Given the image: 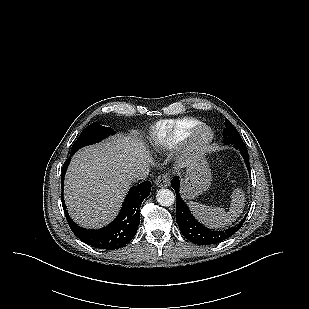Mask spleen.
<instances>
[{"instance_id": "3e777b00", "label": "spleen", "mask_w": 309, "mask_h": 309, "mask_svg": "<svg viewBox=\"0 0 309 309\" xmlns=\"http://www.w3.org/2000/svg\"><path fill=\"white\" fill-rule=\"evenodd\" d=\"M229 212L220 207H211L191 201V210L196 217L205 225L211 228H224L234 222L243 212L245 206V196L242 190L235 189L231 195Z\"/></svg>"}]
</instances>
